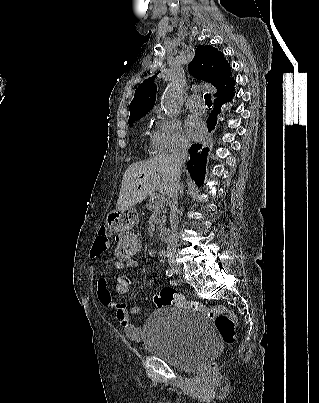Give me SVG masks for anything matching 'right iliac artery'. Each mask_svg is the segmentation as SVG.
Returning <instances> with one entry per match:
<instances>
[{
  "instance_id": "82829eb1",
  "label": "right iliac artery",
  "mask_w": 319,
  "mask_h": 403,
  "mask_svg": "<svg viewBox=\"0 0 319 403\" xmlns=\"http://www.w3.org/2000/svg\"><path fill=\"white\" fill-rule=\"evenodd\" d=\"M166 275H167L168 277H171V276L173 275V270H172V269L167 270V271H166Z\"/></svg>"
}]
</instances>
